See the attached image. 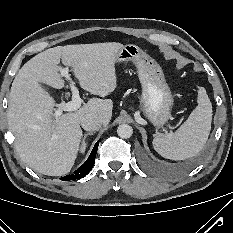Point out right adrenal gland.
<instances>
[{
	"label": "right adrenal gland",
	"instance_id": "1",
	"mask_svg": "<svg viewBox=\"0 0 233 233\" xmlns=\"http://www.w3.org/2000/svg\"><path fill=\"white\" fill-rule=\"evenodd\" d=\"M88 135H93V133L92 132H88V133L84 134V137L82 139L81 146H80V152L81 153L85 152L86 145H87L86 138H87Z\"/></svg>",
	"mask_w": 233,
	"mask_h": 233
}]
</instances>
